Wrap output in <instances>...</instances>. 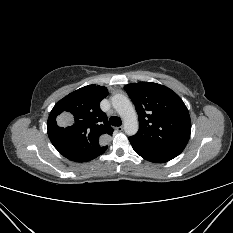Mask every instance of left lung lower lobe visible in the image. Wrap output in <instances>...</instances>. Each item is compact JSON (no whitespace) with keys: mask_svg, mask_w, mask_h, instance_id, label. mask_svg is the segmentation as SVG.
<instances>
[{"mask_svg":"<svg viewBox=\"0 0 233 233\" xmlns=\"http://www.w3.org/2000/svg\"><path fill=\"white\" fill-rule=\"evenodd\" d=\"M130 143L137 154H139L141 157H143L144 159L150 162L163 163V162H167L174 158V157H170L164 154H160V153L147 150L131 141Z\"/></svg>","mask_w":233,"mask_h":233,"instance_id":"1","label":"left lung lower lobe"}]
</instances>
